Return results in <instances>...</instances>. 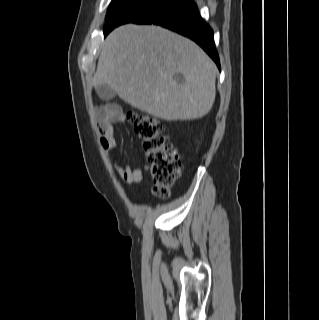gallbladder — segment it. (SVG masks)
Wrapping results in <instances>:
<instances>
[{"label":"gallbladder","mask_w":319,"mask_h":320,"mask_svg":"<svg viewBox=\"0 0 319 320\" xmlns=\"http://www.w3.org/2000/svg\"><path fill=\"white\" fill-rule=\"evenodd\" d=\"M96 92L102 100L108 101L115 97V91L107 84L96 86Z\"/></svg>","instance_id":"bac80fb5"}]
</instances>
